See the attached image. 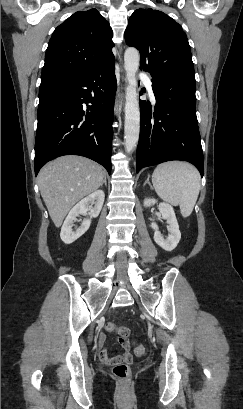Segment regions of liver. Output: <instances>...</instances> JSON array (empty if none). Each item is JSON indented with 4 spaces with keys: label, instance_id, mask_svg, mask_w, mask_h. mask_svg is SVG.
<instances>
[{
    "label": "liver",
    "instance_id": "obj_1",
    "mask_svg": "<svg viewBox=\"0 0 243 409\" xmlns=\"http://www.w3.org/2000/svg\"><path fill=\"white\" fill-rule=\"evenodd\" d=\"M104 176L98 163L74 155L59 157L40 170L41 196L57 228L77 202L102 185Z\"/></svg>",
    "mask_w": 243,
    "mask_h": 409
}]
</instances>
